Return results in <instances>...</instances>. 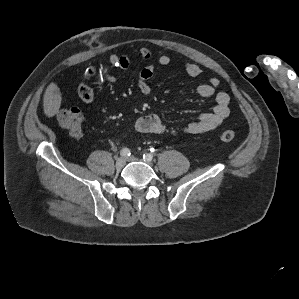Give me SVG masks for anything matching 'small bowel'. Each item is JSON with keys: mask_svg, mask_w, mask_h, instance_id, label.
Instances as JSON below:
<instances>
[{"mask_svg": "<svg viewBox=\"0 0 299 299\" xmlns=\"http://www.w3.org/2000/svg\"><path fill=\"white\" fill-rule=\"evenodd\" d=\"M134 55L144 60H151L150 64L144 67L138 77V88L144 95L151 93V87L148 84L149 79L153 76L156 65L169 66L172 64V59L167 55H161L153 58L151 51L148 48L141 47L134 50ZM109 63L112 67L118 70H126L130 65V58L127 55L112 54L109 58ZM184 71L190 77H199L203 74V69L195 63H186ZM97 72L95 67H90L85 71V81L78 87V96L80 100L86 104H90L94 99V92L87 83L91 77ZM105 78L114 83L118 80V76L113 73H106ZM219 79L211 77L208 83L201 84L190 90L191 93L197 94L201 97H214L215 106L212 111L202 113L197 120L188 123L182 129L186 134H199L214 130L219 126L230 113L229 109V95L225 92L218 91ZM135 128L140 133L146 134H172L176 135L178 130L168 128L161 118L156 114L146 115L140 117L136 123Z\"/></svg>", "mask_w": 299, "mask_h": 299, "instance_id": "small-bowel-1", "label": "small bowel"}]
</instances>
